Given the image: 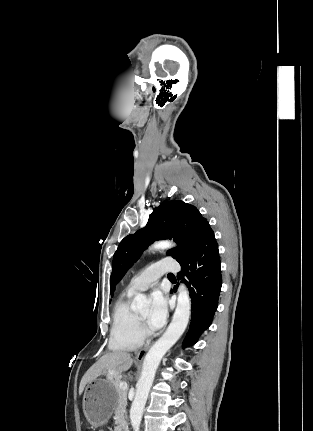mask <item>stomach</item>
<instances>
[{
	"instance_id": "1",
	"label": "stomach",
	"mask_w": 313,
	"mask_h": 431,
	"mask_svg": "<svg viewBox=\"0 0 313 431\" xmlns=\"http://www.w3.org/2000/svg\"><path fill=\"white\" fill-rule=\"evenodd\" d=\"M116 390L111 379L89 382L83 396V410L88 422L95 427L110 419L116 404Z\"/></svg>"
}]
</instances>
